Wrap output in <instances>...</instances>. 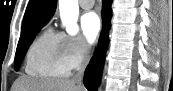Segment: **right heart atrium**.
Here are the masks:
<instances>
[{"mask_svg":"<svg viewBox=\"0 0 173 91\" xmlns=\"http://www.w3.org/2000/svg\"><path fill=\"white\" fill-rule=\"evenodd\" d=\"M63 54L70 69L79 68L88 55V45L80 36H62Z\"/></svg>","mask_w":173,"mask_h":91,"instance_id":"obj_1","label":"right heart atrium"}]
</instances>
